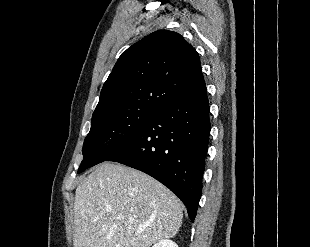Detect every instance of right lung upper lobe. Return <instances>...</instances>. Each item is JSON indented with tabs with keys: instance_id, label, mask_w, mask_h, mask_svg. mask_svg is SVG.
Segmentation results:
<instances>
[{
	"instance_id": "right-lung-upper-lobe-1",
	"label": "right lung upper lobe",
	"mask_w": 310,
	"mask_h": 247,
	"mask_svg": "<svg viewBox=\"0 0 310 247\" xmlns=\"http://www.w3.org/2000/svg\"><path fill=\"white\" fill-rule=\"evenodd\" d=\"M204 85L196 50L180 34L159 30L122 53L92 117L134 107L159 110Z\"/></svg>"
}]
</instances>
